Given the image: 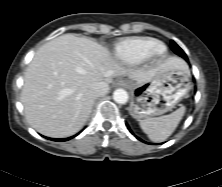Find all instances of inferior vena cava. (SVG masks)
I'll list each match as a JSON object with an SVG mask.
<instances>
[{"mask_svg":"<svg viewBox=\"0 0 222 187\" xmlns=\"http://www.w3.org/2000/svg\"><path fill=\"white\" fill-rule=\"evenodd\" d=\"M91 93L95 97L102 96L108 91V84L106 82H96L90 87Z\"/></svg>","mask_w":222,"mask_h":187,"instance_id":"1","label":"inferior vena cava"}]
</instances>
